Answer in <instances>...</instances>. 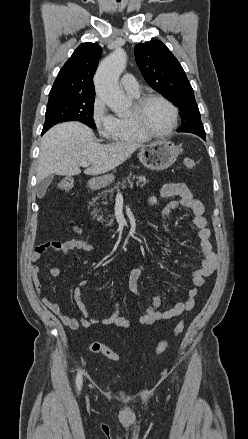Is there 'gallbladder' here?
Wrapping results in <instances>:
<instances>
[{
	"mask_svg": "<svg viewBox=\"0 0 248 439\" xmlns=\"http://www.w3.org/2000/svg\"><path fill=\"white\" fill-rule=\"evenodd\" d=\"M53 176H48L46 178H44L43 180L37 182L36 185V194L38 198H43L47 188L49 187V185L51 184L52 180H53Z\"/></svg>",
	"mask_w": 248,
	"mask_h": 439,
	"instance_id": "1",
	"label": "gallbladder"
}]
</instances>
